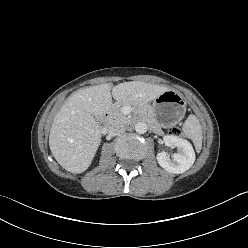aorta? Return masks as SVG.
I'll return each instance as SVG.
<instances>
[{
  "mask_svg": "<svg viewBox=\"0 0 248 248\" xmlns=\"http://www.w3.org/2000/svg\"><path fill=\"white\" fill-rule=\"evenodd\" d=\"M147 124L144 123V122H138L136 125H135V131L138 133V134H144L147 132Z\"/></svg>",
  "mask_w": 248,
  "mask_h": 248,
  "instance_id": "obj_1",
  "label": "aorta"
}]
</instances>
